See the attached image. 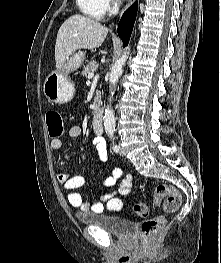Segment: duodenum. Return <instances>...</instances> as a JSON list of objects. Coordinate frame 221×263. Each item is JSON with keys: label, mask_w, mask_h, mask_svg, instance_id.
Instances as JSON below:
<instances>
[{"label": "duodenum", "mask_w": 221, "mask_h": 263, "mask_svg": "<svg viewBox=\"0 0 221 263\" xmlns=\"http://www.w3.org/2000/svg\"><path fill=\"white\" fill-rule=\"evenodd\" d=\"M92 127L98 134H101L103 132L102 114L100 112L96 113L93 117Z\"/></svg>", "instance_id": "duodenum-1"}]
</instances>
